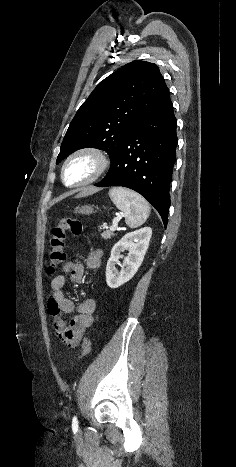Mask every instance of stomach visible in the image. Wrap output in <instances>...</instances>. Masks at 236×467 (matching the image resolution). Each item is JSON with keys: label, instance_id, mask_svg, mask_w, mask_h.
I'll return each mask as SVG.
<instances>
[{"label": "stomach", "instance_id": "stomach-1", "mask_svg": "<svg viewBox=\"0 0 236 467\" xmlns=\"http://www.w3.org/2000/svg\"><path fill=\"white\" fill-rule=\"evenodd\" d=\"M94 211V207L91 205H84L81 207H76L74 213L89 215Z\"/></svg>", "mask_w": 236, "mask_h": 467}]
</instances>
